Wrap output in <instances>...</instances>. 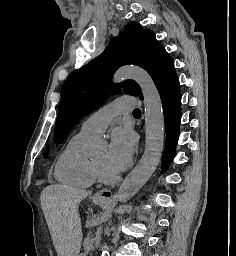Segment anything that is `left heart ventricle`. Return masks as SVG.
Returning <instances> with one entry per match:
<instances>
[{
	"mask_svg": "<svg viewBox=\"0 0 236 256\" xmlns=\"http://www.w3.org/2000/svg\"><path fill=\"white\" fill-rule=\"evenodd\" d=\"M93 161L96 164H98L105 172L110 173V174H115L107 166V152H106V150L101 151L100 153H98L94 157Z\"/></svg>",
	"mask_w": 236,
	"mask_h": 256,
	"instance_id": "1",
	"label": "left heart ventricle"
}]
</instances>
